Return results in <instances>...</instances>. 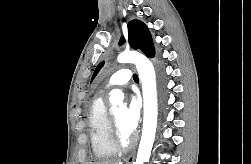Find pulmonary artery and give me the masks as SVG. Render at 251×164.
Segmentation results:
<instances>
[{
    "instance_id": "obj_1",
    "label": "pulmonary artery",
    "mask_w": 251,
    "mask_h": 164,
    "mask_svg": "<svg viewBox=\"0 0 251 164\" xmlns=\"http://www.w3.org/2000/svg\"><path fill=\"white\" fill-rule=\"evenodd\" d=\"M132 77V72L129 69L118 70L110 77L104 90H109L115 86L125 85L132 79Z\"/></svg>"
}]
</instances>
